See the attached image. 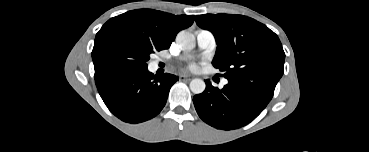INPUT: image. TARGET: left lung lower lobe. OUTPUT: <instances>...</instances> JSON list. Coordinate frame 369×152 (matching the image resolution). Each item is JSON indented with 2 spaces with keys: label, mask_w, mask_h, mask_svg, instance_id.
I'll list each match as a JSON object with an SVG mask.
<instances>
[{
  "label": "left lung lower lobe",
  "mask_w": 369,
  "mask_h": 152,
  "mask_svg": "<svg viewBox=\"0 0 369 152\" xmlns=\"http://www.w3.org/2000/svg\"><path fill=\"white\" fill-rule=\"evenodd\" d=\"M206 89L193 102L199 117L223 130L237 129L253 121L273 97L275 87L269 84L241 83L228 80L219 90L205 81Z\"/></svg>",
  "instance_id": "obj_1"
}]
</instances>
